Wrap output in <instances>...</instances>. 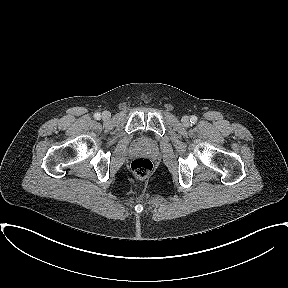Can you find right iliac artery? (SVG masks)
I'll list each match as a JSON object with an SVG mask.
<instances>
[{
    "label": "right iliac artery",
    "instance_id": "obj_1",
    "mask_svg": "<svg viewBox=\"0 0 288 288\" xmlns=\"http://www.w3.org/2000/svg\"><path fill=\"white\" fill-rule=\"evenodd\" d=\"M94 117H95V119L99 120L100 117H101V115H100V113H95V114H94Z\"/></svg>",
    "mask_w": 288,
    "mask_h": 288
}]
</instances>
